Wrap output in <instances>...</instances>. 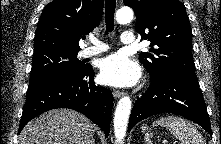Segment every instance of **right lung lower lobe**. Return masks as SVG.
Masks as SVG:
<instances>
[{"label": "right lung lower lobe", "instance_id": "right-lung-lower-lobe-1", "mask_svg": "<svg viewBox=\"0 0 221 144\" xmlns=\"http://www.w3.org/2000/svg\"><path fill=\"white\" fill-rule=\"evenodd\" d=\"M93 79L94 70L86 66L78 71L56 73L29 85L18 133L30 120L48 110L69 108L87 116L108 137L113 96L109 89L96 86Z\"/></svg>", "mask_w": 221, "mask_h": 144}]
</instances>
